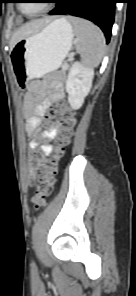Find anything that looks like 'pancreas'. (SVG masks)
Wrapping results in <instances>:
<instances>
[{"mask_svg":"<svg viewBox=\"0 0 136 296\" xmlns=\"http://www.w3.org/2000/svg\"><path fill=\"white\" fill-rule=\"evenodd\" d=\"M66 69H63V71H62V77H64Z\"/></svg>","mask_w":136,"mask_h":296,"instance_id":"cf45deb5","label":"pancreas"}]
</instances>
